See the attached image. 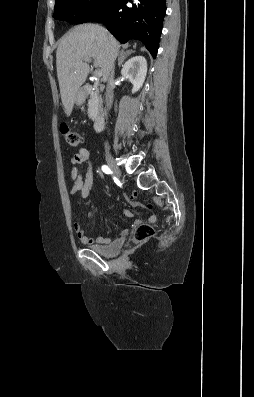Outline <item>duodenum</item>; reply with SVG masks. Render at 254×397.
I'll use <instances>...</instances> for the list:
<instances>
[{
  "label": "duodenum",
  "instance_id": "obj_1",
  "mask_svg": "<svg viewBox=\"0 0 254 397\" xmlns=\"http://www.w3.org/2000/svg\"><path fill=\"white\" fill-rule=\"evenodd\" d=\"M105 123V112L101 109L94 118L93 128L95 131H101Z\"/></svg>",
  "mask_w": 254,
  "mask_h": 397
}]
</instances>
